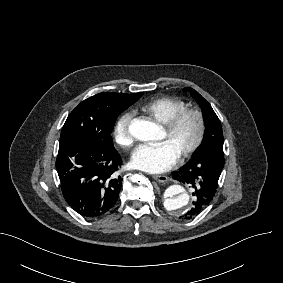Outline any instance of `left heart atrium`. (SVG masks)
<instances>
[{
  "label": "left heart atrium",
  "instance_id": "obj_1",
  "mask_svg": "<svg viewBox=\"0 0 283 283\" xmlns=\"http://www.w3.org/2000/svg\"><path fill=\"white\" fill-rule=\"evenodd\" d=\"M179 153L168 141L138 145L130 156L132 168L149 174L169 170L179 160Z\"/></svg>",
  "mask_w": 283,
  "mask_h": 283
}]
</instances>
